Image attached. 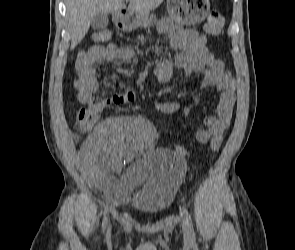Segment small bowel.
<instances>
[{
	"instance_id": "small-bowel-1",
	"label": "small bowel",
	"mask_w": 295,
	"mask_h": 250,
	"mask_svg": "<svg viewBox=\"0 0 295 250\" xmlns=\"http://www.w3.org/2000/svg\"><path fill=\"white\" fill-rule=\"evenodd\" d=\"M161 34L170 36V45L179 51L173 61L160 60L154 70L160 82L170 80L173 69H181L188 75H200L201 87H215L220 93L216 116H207L205 128L196 131L200 143L222 144L225 131L229 128L235 104V81L224 73L225 64L206 46V38L192 29H183L167 19L159 22ZM135 52L115 44L94 45L88 49L85 60L75 61L76 79L74 88L77 100L86 106H95L99 112L111 105L131 102L135 98L132 87L125 92L99 100L96 97L99 76L104 72V62L131 60ZM157 109L170 114L179 109V103L160 102ZM155 130L140 116L115 117L104 121L87 139L83 148V169L86 176L96 181L118 200H126L131 191L142 185L148 177L147 160L139 156L142 151L153 147ZM176 151L185 155L187 149L177 146ZM125 161L132 164L120 177L113 170Z\"/></svg>"
}]
</instances>
